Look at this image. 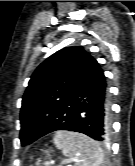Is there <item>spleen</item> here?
<instances>
[{"label": "spleen", "mask_w": 135, "mask_h": 166, "mask_svg": "<svg viewBox=\"0 0 135 166\" xmlns=\"http://www.w3.org/2000/svg\"><path fill=\"white\" fill-rule=\"evenodd\" d=\"M53 143L66 157L64 161H73L74 166H101L104 161L100 144L84 134L57 131Z\"/></svg>", "instance_id": "3e777b00"}]
</instances>
